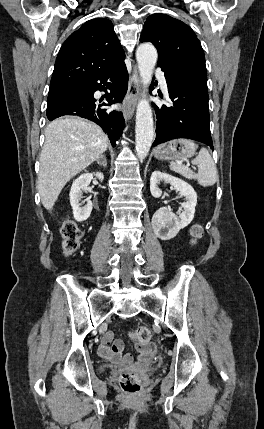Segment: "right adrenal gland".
I'll return each instance as SVG.
<instances>
[{
    "instance_id": "1",
    "label": "right adrenal gland",
    "mask_w": 264,
    "mask_h": 429,
    "mask_svg": "<svg viewBox=\"0 0 264 429\" xmlns=\"http://www.w3.org/2000/svg\"><path fill=\"white\" fill-rule=\"evenodd\" d=\"M97 164L103 167L107 166V159L104 155H101L99 159H97Z\"/></svg>"
}]
</instances>
